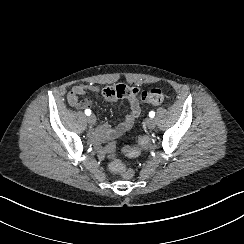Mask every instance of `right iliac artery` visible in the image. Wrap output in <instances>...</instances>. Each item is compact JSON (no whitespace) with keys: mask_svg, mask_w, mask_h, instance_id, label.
Returning <instances> with one entry per match:
<instances>
[{"mask_svg":"<svg viewBox=\"0 0 244 244\" xmlns=\"http://www.w3.org/2000/svg\"><path fill=\"white\" fill-rule=\"evenodd\" d=\"M85 114H86L87 116H89V115L91 114V110H90V109H86V110H85Z\"/></svg>","mask_w":244,"mask_h":244,"instance_id":"82829eb1","label":"right iliac artery"}]
</instances>
